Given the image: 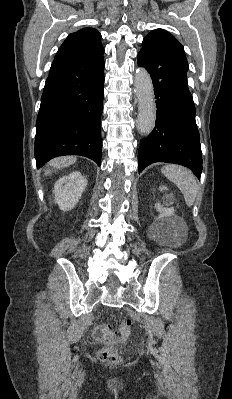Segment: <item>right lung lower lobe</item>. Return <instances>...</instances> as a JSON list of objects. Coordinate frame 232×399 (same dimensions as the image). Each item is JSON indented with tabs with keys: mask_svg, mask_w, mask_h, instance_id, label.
Instances as JSON below:
<instances>
[{
	"mask_svg": "<svg viewBox=\"0 0 232 399\" xmlns=\"http://www.w3.org/2000/svg\"><path fill=\"white\" fill-rule=\"evenodd\" d=\"M103 54L54 59L43 90L36 122L37 167L62 155L101 162Z\"/></svg>",
	"mask_w": 232,
	"mask_h": 399,
	"instance_id": "obj_1",
	"label": "right lung lower lobe"
}]
</instances>
